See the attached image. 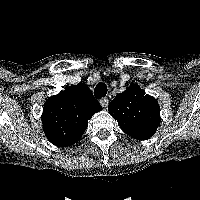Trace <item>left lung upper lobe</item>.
Wrapping results in <instances>:
<instances>
[{
	"label": "left lung upper lobe",
	"instance_id": "obj_1",
	"mask_svg": "<svg viewBox=\"0 0 200 200\" xmlns=\"http://www.w3.org/2000/svg\"><path fill=\"white\" fill-rule=\"evenodd\" d=\"M121 129L129 136L145 140L151 137L160 122V109L156 99L139 86H131L118 94L108 106Z\"/></svg>",
	"mask_w": 200,
	"mask_h": 200
}]
</instances>
